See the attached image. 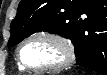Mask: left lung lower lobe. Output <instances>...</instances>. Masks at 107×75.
<instances>
[{"label":"left lung lower lobe","instance_id":"left-lung-lower-lobe-1","mask_svg":"<svg viewBox=\"0 0 107 75\" xmlns=\"http://www.w3.org/2000/svg\"><path fill=\"white\" fill-rule=\"evenodd\" d=\"M90 5H95V11L92 13L91 22L95 19L107 24V0H87ZM88 17V16H87ZM89 26L83 25V32L87 35ZM88 37V35H87ZM83 38H85L83 36ZM83 43L84 53L76 58L77 65L91 69L103 75H107V36L85 38Z\"/></svg>","mask_w":107,"mask_h":75}]
</instances>
